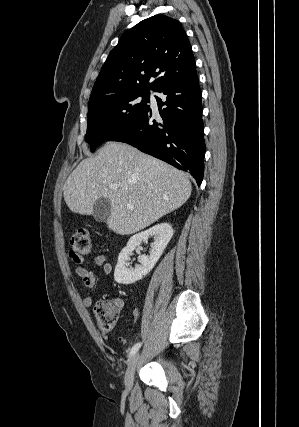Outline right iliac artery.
Here are the masks:
<instances>
[{
	"label": "right iliac artery",
	"instance_id": "obj_1",
	"mask_svg": "<svg viewBox=\"0 0 299 427\" xmlns=\"http://www.w3.org/2000/svg\"><path fill=\"white\" fill-rule=\"evenodd\" d=\"M141 347V343L139 342V343H136L133 347H132V349H131V351H130V353H129V358H131L138 350H139V348Z\"/></svg>",
	"mask_w": 299,
	"mask_h": 427
}]
</instances>
